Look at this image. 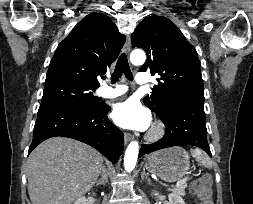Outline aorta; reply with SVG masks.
I'll list each match as a JSON object with an SVG mask.
<instances>
[{
    "label": "aorta",
    "instance_id": "1",
    "mask_svg": "<svg viewBox=\"0 0 253 204\" xmlns=\"http://www.w3.org/2000/svg\"><path fill=\"white\" fill-rule=\"evenodd\" d=\"M130 60L134 65H141L146 60V55L142 50H134L130 55ZM139 153V144L136 141H132L125 152L124 167L125 170L130 172L134 169Z\"/></svg>",
    "mask_w": 253,
    "mask_h": 204
}]
</instances>
